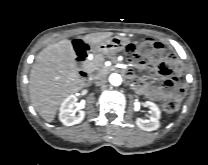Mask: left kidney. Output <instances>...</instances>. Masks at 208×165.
I'll return each mask as SVG.
<instances>
[{
  "instance_id": "left-kidney-1",
  "label": "left kidney",
  "mask_w": 208,
  "mask_h": 165,
  "mask_svg": "<svg viewBox=\"0 0 208 165\" xmlns=\"http://www.w3.org/2000/svg\"><path fill=\"white\" fill-rule=\"evenodd\" d=\"M144 106L150 110V120H143L141 118H137L136 125L144 131L157 130L160 127L159 119L161 116V112L158 106L150 101H146L144 103Z\"/></svg>"
}]
</instances>
